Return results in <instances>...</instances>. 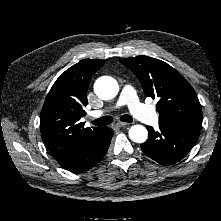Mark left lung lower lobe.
Segmentation results:
<instances>
[{"label":"left lung lower lobe","mask_w":221,"mask_h":221,"mask_svg":"<svg viewBox=\"0 0 221 221\" xmlns=\"http://www.w3.org/2000/svg\"><path fill=\"white\" fill-rule=\"evenodd\" d=\"M148 140L141 144L142 151L162 165H170L181 160L195 145L200 131L183 127L159 125L155 131L147 126Z\"/></svg>","instance_id":"1"}]
</instances>
